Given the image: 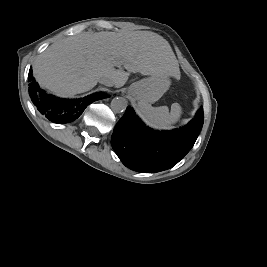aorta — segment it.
<instances>
[{
  "label": "aorta",
  "mask_w": 267,
  "mask_h": 267,
  "mask_svg": "<svg viewBox=\"0 0 267 267\" xmlns=\"http://www.w3.org/2000/svg\"><path fill=\"white\" fill-rule=\"evenodd\" d=\"M128 101L124 97H115L111 101V109L115 113H122L126 110Z\"/></svg>",
  "instance_id": "aorta-1"
}]
</instances>
